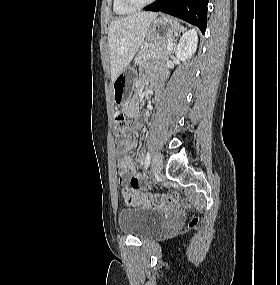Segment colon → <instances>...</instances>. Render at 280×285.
Listing matches in <instances>:
<instances>
[{
	"label": "colon",
	"mask_w": 280,
	"mask_h": 285,
	"mask_svg": "<svg viewBox=\"0 0 280 285\" xmlns=\"http://www.w3.org/2000/svg\"><path fill=\"white\" fill-rule=\"evenodd\" d=\"M132 118L121 111H116L113 121L114 134L117 138L122 135L131 127ZM123 198L128 204H153L158 206L167 207L177 202L179 196L176 192L164 193H137L132 188H125L122 191ZM198 223V218L191 220L190 225L194 226Z\"/></svg>",
	"instance_id": "5ec220e1"
}]
</instances>
